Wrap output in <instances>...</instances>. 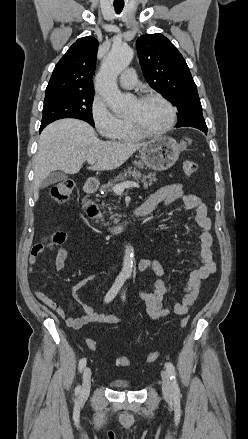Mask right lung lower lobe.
I'll use <instances>...</instances> for the list:
<instances>
[{"instance_id": "1", "label": "right lung lower lobe", "mask_w": 248, "mask_h": 439, "mask_svg": "<svg viewBox=\"0 0 248 439\" xmlns=\"http://www.w3.org/2000/svg\"><path fill=\"white\" fill-rule=\"evenodd\" d=\"M45 127H46V125H41L39 132H41Z\"/></svg>"}]
</instances>
